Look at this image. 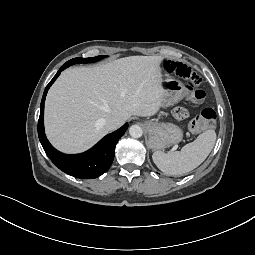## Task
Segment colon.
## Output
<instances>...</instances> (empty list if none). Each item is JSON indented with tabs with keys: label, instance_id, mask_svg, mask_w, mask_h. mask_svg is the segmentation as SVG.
<instances>
[{
	"label": "colon",
	"instance_id": "obj_1",
	"mask_svg": "<svg viewBox=\"0 0 255 255\" xmlns=\"http://www.w3.org/2000/svg\"><path fill=\"white\" fill-rule=\"evenodd\" d=\"M163 66L168 73L175 74L189 82L194 88L191 94L193 101L201 102L205 98V92L198 88L201 79L189 66L172 60L165 61ZM216 117V112L213 109L206 108L190 122V130L192 132H201L212 128L215 125Z\"/></svg>",
	"mask_w": 255,
	"mask_h": 255
}]
</instances>
